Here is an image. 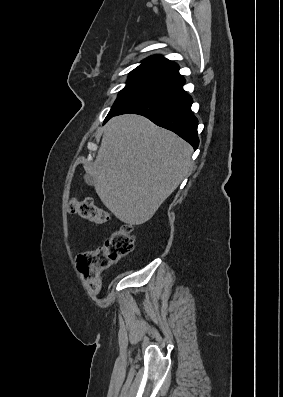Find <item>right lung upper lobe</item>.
I'll list each match as a JSON object with an SVG mask.
<instances>
[{
    "instance_id": "obj_1",
    "label": "right lung upper lobe",
    "mask_w": 283,
    "mask_h": 397,
    "mask_svg": "<svg viewBox=\"0 0 283 397\" xmlns=\"http://www.w3.org/2000/svg\"><path fill=\"white\" fill-rule=\"evenodd\" d=\"M178 70L179 66L176 63L160 55H154L144 60L131 73L143 74L151 79L166 81L169 85H173L184 80Z\"/></svg>"
}]
</instances>
